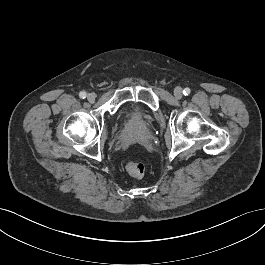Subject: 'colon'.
<instances>
[{
	"label": "colon",
	"mask_w": 265,
	"mask_h": 265,
	"mask_svg": "<svg viewBox=\"0 0 265 265\" xmlns=\"http://www.w3.org/2000/svg\"><path fill=\"white\" fill-rule=\"evenodd\" d=\"M127 172L134 178L141 179L145 175V165L139 160H130L126 164Z\"/></svg>",
	"instance_id": "5ec220e1"
}]
</instances>
